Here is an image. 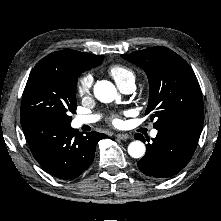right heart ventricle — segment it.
Here are the masks:
<instances>
[{
	"mask_svg": "<svg viewBox=\"0 0 221 221\" xmlns=\"http://www.w3.org/2000/svg\"><path fill=\"white\" fill-rule=\"evenodd\" d=\"M108 71L119 87L126 83L135 81L134 72L126 66L113 65L109 68Z\"/></svg>",
	"mask_w": 221,
	"mask_h": 221,
	"instance_id": "right-heart-ventricle-1",
	"label": "right heart ventricle"
}]
</instances>
